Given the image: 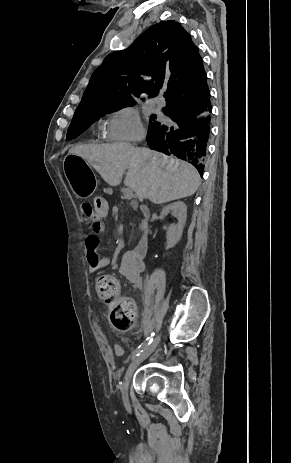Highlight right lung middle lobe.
<instances>
[{
    "label": "right lung middle lobe",
    "mask_w": 291,
    "mask_h": 463,
    "mask_svg": "<svg viewBox=\"0 0 291 463\" xmlns=\"http://www.w3.org/2000/svg\"><path fill=\"white\" fill-rule=\"evenodd\" d=\"M134 101L130 102H110L100 105H96L86 109H78L72 118V122L68 128L67 139H73L78 136L83 130H85L90 124L95 122L98 118L104 116L107 113L120 110L126 106H133ZM156 116H151L149 128L158 124Z\"/></svg>",
    "instance_id": "dd1d6c3e"
}]
</instances>
